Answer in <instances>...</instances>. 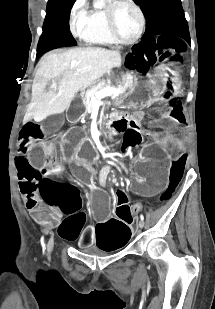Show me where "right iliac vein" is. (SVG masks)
I'll return each mask as SVG.
<instances>
[{"label": "right iliac vein", "mask_w": 215, "mask_h": 309, "mask_svg": "<svg viewBox=\"0 0 215 309\" xmlns=\"http://www.w3.org/2000/svg\"><path fill=\"white\" fill-rule=\"evenodd\" d=\"M53 247H54V235L50 237L49 242L47 244L48 252H51L53 250Z\"/></svg>", "instance_id": "right-iliac-vein-1"}]
</instances>
